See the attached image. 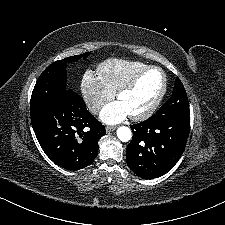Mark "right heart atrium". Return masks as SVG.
I'll return each mask as SVG.
<instances>
[{
    "mask_svg": "<svg viewBox=\"0 0 225 225\" xmlns=\"http://www.w3.org/2000/svg\"><path fill=\"white\" fill-rule=\"evenodd\" d=\"M81 90L84 99L92 112H98L110 101L114 94L105 86L101 78L93 72L84 73L81 80Z\"/></svg>",
    "mask_w": 225,
    "mask_h": 225,
    "instance_id": "1",
    "label": "right heart atrium"
}]
</instances>
